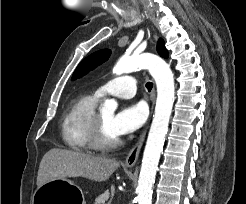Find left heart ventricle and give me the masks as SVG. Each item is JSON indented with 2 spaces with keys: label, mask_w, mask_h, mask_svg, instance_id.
Wrapping results in <instances>:
<instances>
[{
  "label": "left heart ventricle",
  "mask_w": 246,
  "mask_h": 204,
  "mask_svg": "<svg viewBox=\"0 0 246 204\" xmlns=\"http://www.w3.org/2000/svg\"><path fill=\"white\" fill-rule=\"evenodd\" d=\"M113 116L114 115L111 112L100 113V117L103 123L104 135L107 140H114L118 138V136L113 131L112 125H111Z\"/></svg>",
  "instance_id": "left-heart-ventricle-1"
}]
</instances>
